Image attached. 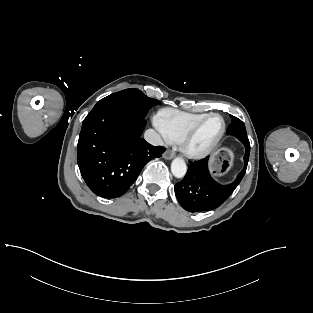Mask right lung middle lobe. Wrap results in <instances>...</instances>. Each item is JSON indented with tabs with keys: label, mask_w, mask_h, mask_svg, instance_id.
<instances>
[{
	"label": "right lung middle lobe",
	"mask_w": 313,
	"mask_h": 313,
	"mask_svg": "<svg viewBox=\"0 0 313 313\" xmlns=\"http://www.w3.org/2000/svg\"><path fill=\"white\" fill-rule=\"evenodd\" d=\"M158 104V100L147 97L138 89H125L111 94L96 103L92 111L103 107H120L127 109L140 118H145L148 110Z\"/></svg>",
	"instance_id": "dd1d6c3e"
}]
</instances>
